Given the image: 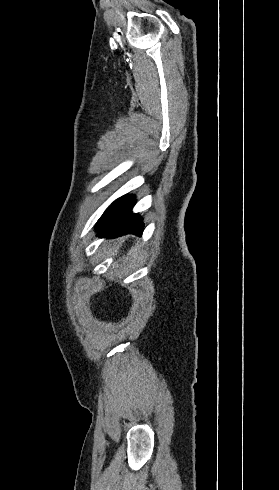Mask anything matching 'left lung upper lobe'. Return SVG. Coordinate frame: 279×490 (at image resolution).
<instances>
[{
    "mask_svg": "<svg viewBox=\"0 0 279 490\" xmlns=\"http://www.w3.org/2000/svg\"><path fill=\"white\" fill-rule=\"evenodd\" d=\"M116 204V201L114 203H112L108 208L107 210L103 213L102 217L99 219V221L101 219H103L106 215H108L113 209H114V206Z\"/></svg>",
    "mask_w": 279,
    "mask_h": 490,
    "instance_id": "5c2ea615",
    "label": "left lung upper lobe"
}]
</instances>
